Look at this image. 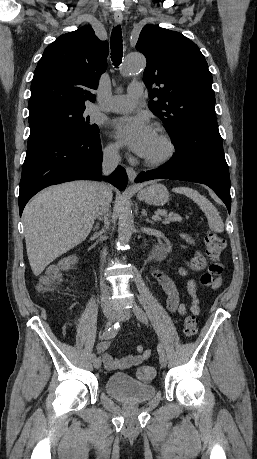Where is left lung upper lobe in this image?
Instances as JSON below:
<instances>
[{
    "instance_id": "left-lung-upper-lobe-1",
    "label": "left lung upper lobe",
    "mask_w": 257,
    "mask_h": 459,
    "mask_svg": "<svg viewBox=\"0 0 257 459\" xmlns=\"http://www.w3.org/2000/svg\"><path fill=\"white\" fill-rule=\"evenodd\" d=\"M136 49L147 59L143 80L149 108L166 125L171 139L191 122L215 119L212 75L195 43L179 32L146 25ZM153 84L161 87L151 89Z\"/></svg>"
}]
</instances>
